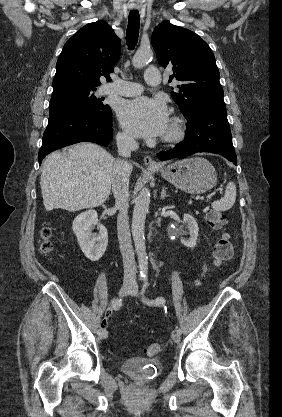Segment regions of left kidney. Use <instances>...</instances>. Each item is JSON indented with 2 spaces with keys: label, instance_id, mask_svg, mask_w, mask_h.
I'll return each instance as SVG.
<instances>
[{
  "label": "left kidney",
  "instance_id": "left-kidney-1",
  "mask_svg": "<svg viewBox=\"0 0 282 417\" xmlns=\"http://www.w3.org/2000/svg\"><path fill=\"white\" fill-rule=\"evenodd\" d=\"M186 229L189 231L190 239L187 241V239H180L182 245H185V247H189V249H194L197 245V239H198V225L196 223V219L192 217V215H184L183 221Z\"/></svg>",
  "mask_w": 282,
  "mask_h": 417
}]
</instances>
